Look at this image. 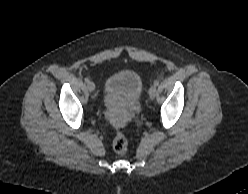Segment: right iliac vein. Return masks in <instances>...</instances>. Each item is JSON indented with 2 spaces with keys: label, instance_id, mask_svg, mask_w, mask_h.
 Segmentation results:
<instances>
[{
  "label": "right iliac vein",
  "instance_id": "1",
  "mask_svg": "<svg viewBox=\"0 0 248 194\" xmlns=\"http://www.w3.org/2000/svg\"><path fill=\"white\" fill-rule=\"evenodd\" d=\"M87 88L90 92H93L95 90V84L93 82H89L87 84Z\"/></svg>",
  "mask_w": 248,
  "mask_h": 194
}]
</instances>
